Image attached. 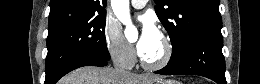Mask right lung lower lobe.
Wrapping results in <instances>:
<instances>
[{"label": "right lung lower lobe", "mask_w": 260, "mask_h": 84, "mask_svg": "<svg viewBox=\"0 0 260 84\" xmlns=\"http://www.w3.org/2000/svg\"><path fill=\"white\" fill-rule=\"evenodd\" d=\"M106 65H107V61L96 59V58L78 59L63 67L52 80L50 81L45 80V84H55L62 76L82 66H106Z\"/></svg>", "instance_id": "1"}]
</instances>
